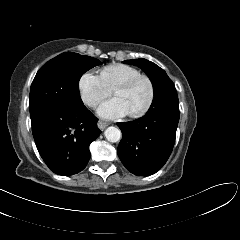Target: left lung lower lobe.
Returning <instances> with one entry per match:
<instances>
[{
    "label": "left lung lower lobe",
    "instance_id": "1",
    "mask_svg": "<svg viewBox=\"0 0 240 240\" xmlns=\"http://www.w3.org/2000/svg\"><path fill=\"white\" fill-rule=\"evenodd\" d=\"M178 121V108L163 106L137 120L118 123L123 138L117 153L123 165L137 176L160 170L172 152Z\"/></svg>",
    "mask_w": 240,
    "mask_h": 240
}]
</instances>
